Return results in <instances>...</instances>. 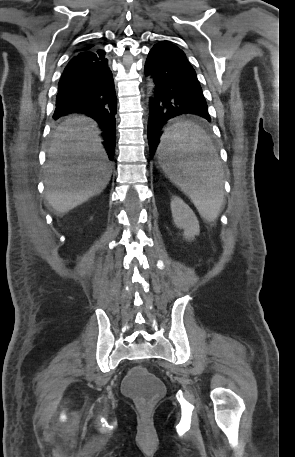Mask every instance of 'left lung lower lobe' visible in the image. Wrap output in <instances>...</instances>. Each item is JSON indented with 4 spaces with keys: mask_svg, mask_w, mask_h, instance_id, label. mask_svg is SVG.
Segmentation results:
<instances>
[{
    "mask_svg": "<svg viewBox=\"0 0 295 457\" xmlns=\"http://www.w3.org/2000/svg\"><path fill=\"white\" fill-rule=\"evenodd\" d=\"M145 74L155 84L150 100L148 142L153 158L161 142L162 128L176 116L193 114L211 121L202 88L185 53L169 41L155 44L145 63Z\"/></svg>",
    "mask_w": 295,
    "mask_h": 457,
    "instance_id": "1",
    "label": "left lung lower lobe"
}]
</instances>
